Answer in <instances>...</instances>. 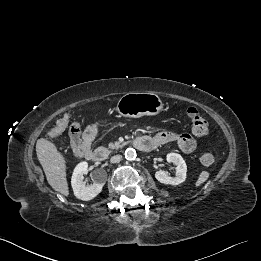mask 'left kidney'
<instances>
[{
    "instance_id": "left-kidney-1",
    "label": "left kidney",
    "mask_w": 261,
    "mask_h": 261,
    "mask_svg": "<svg viewBox=\"0 0 261 261\" xmlns=\"http://www.w3.org/2000/svg\"><path fill=\"white\" fill-rule=\"evenodd\" d=\"M167 162L174 163L176 165L175 177H171L167 172L163 170L156 171L155 178L163 183L169 185H179L186 179L187 166L180 154L177 153H168L166 156Z\"/></svg>"
}]
</instances>
